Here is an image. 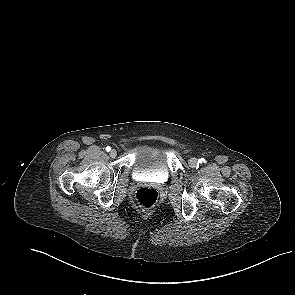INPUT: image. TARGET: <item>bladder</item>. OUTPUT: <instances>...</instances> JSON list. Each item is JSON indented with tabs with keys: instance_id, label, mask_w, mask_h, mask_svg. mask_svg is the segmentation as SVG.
I'll return each mask as SVG.
<instances>
[{
	"instance_id": "obj_1",
	"label": "bladder",
	"mask_w": 295,
	"mask_h": 295,
	"mask_svg": "<svg viewBox=\"0 0 295 295\" xmlns=\"http://www.w3.org/2000/svg\"><path fill=\"white\" fill-rule=\"evenodd\" d=\"M134 173L158 179L169 177V158L166 150L158 145H144L139 148L134 165Z\"/></svg>"
}]
</instances>
